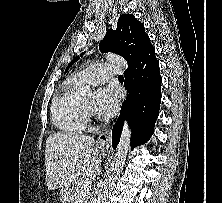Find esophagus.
Wrapping results in <instances>:
<instances>
[{
    "mask_svg": "<svg viewBox=\"0 0 222 203\" xmlns=\"http://www.w3.org/2000/svg\"><path fill=\"white\" fill-rule=\"evenodd\" d=\"M113 125L105 128L98 137V143L103 146L109 148L112 144L111 140V131H112Z\"/></svg>",
    "mask_w": 222,
    "mask_h": 203,
    "instance_id": "1",
    "label": "esophagus"
}]
</instances>
